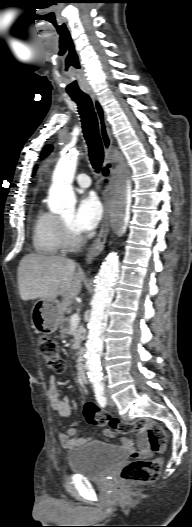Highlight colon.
I'll return each instance as SVG.
<instances>
[{
    "label": "colon",
    "mask_w": 192,
    "mask_h": 527,
    "mask_svg": "<svg viewBox=\"0 0 192 527\" xmlns=\"http://www.w3.org/2000/svg\"><path fill=\"white\" fill-rule=\"evenodd\" d=\"M37 346L47 366L55 372L65 370V361L57 344L47 336H40ZM84 415L88 423L108 427L118 433H126L130 429L144 430L147 442L152 451L163 453L166 449L167 436L161 425L148 420H137L127 424L112 417L108 412L98 407L93 402H88L84 407ZM160 458L152 460L136 459L129 462L121 472V479L126 483H152L157 480L161 471Z\"/></svg>",
    "instance_id": "1"
}]
</instances>
